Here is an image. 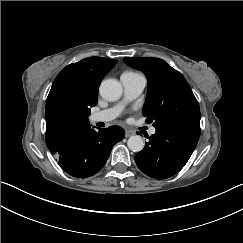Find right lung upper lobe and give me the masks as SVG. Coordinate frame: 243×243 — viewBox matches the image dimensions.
Here are the masks:
<instances>
[{
    "instance_id": "obj_1",
    "label": "right lung upper lobe",
    "mask_w": 243,
    "mask_h": 243,
    "mask_svg": "<svg viewBox=\"0 0 243 243\" xmlns=\"http://www.w3.org/2000/svg\"><path fill=\"white\" fill-rule=\"evenodd\" d=\"M116 63L115 59L89 57L61 70L46 101L47 146L89 124L86 111L96 105L99 85Z\"/></svg>"
}]
</instances>
